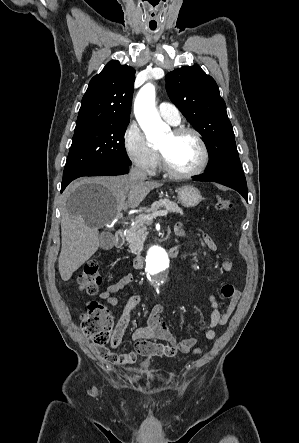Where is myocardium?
I'll return each instance as SVG.
<instances>
[{
	"label": "myocardium",
	"instance_id": "f54148a6",
	"mask_svg": "<svg viewBox=\"0 0 299 443\" xmlns=\"http://www.w3.org/2000/svg\"><path fill=\"white\" fill-rule=\"evenodd\" d=\"M172 134L174 136H180L183 134L193 135L200 147V152H201L200 161H199L198 165L190 171H187V172L176 171L168 164L164 153L158 149V156H159L160 166H161L162 170L168 176H170L172 178H176V179H186V178L195 177V176L201 174L205 170V168L208 164L209 152H208L207 145H206L202 135L200 134V132L192 127L181 126V127H177L175 129H173Z\"/></svg>",
	"mask_w": 299,
	"mask_h": 443
}]
</instances>
